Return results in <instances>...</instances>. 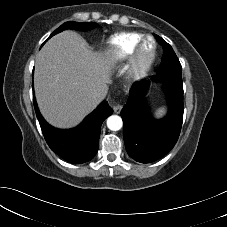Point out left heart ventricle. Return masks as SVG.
<instances>
[{"label":"left heart ventricle","instance_id":"obj_1","mask_svg":"<svg viewBox=\"0 0 227 227\" xmlns=\"http://www.w3.org/2000/svg\"><path fill=\"white\" fill-rule=\"evenodd\" d=\"M149 48H150V46H149V45H147L146 50H145V53H147V52H148Z\"/></svg>","mask_w":227,"mask_h":227}]
</instances>
